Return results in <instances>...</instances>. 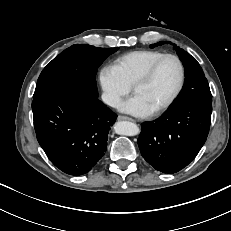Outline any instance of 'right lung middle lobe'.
I'll return each instance as SVG.
<instances>
[{
  "label": "right lung middle lobe",
  "mask_w": 231,
  "mask_h": 231,
  "mask_svg": "<svg viewBox=\"0 0 231 231\" xmlns=\"http://www.w3.org/2000/svg\"><path fill=\"white\" fill-rule=\"evenodd\" d=\"M118 48L75 44L54 58L41 72L33 99L75 91L98 97L95 75L106 57Z\"/></svg>",
  "instance_id": "1"
}]
</instances>
